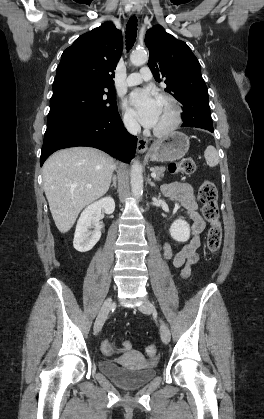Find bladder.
<instances>
[{"label":"bladder","mask_w":264,"mask_h":419,"mask_svg":"<svg viewBox=\"0 0 264 419\" xmlns=\"http://www.w3.org/2000/svg\"><path fill=\"white\" fill-rule=\"evenodd\" d=\"M98 368L105 376L125 389L140 388L156 375V370L152 365H146L141 368H128L107 359L100 360Z\"/></svg>","instance_id":"31cf9c89"}]
</instances>
